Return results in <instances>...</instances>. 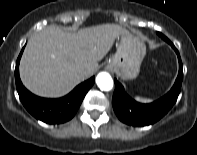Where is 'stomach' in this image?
Returning <instances> with one entry per match:
<instances>
[{"instance_id":"1","label":"stomach","mask_w":197,"mask_h":155,"mask_svg":"<svg viewBox=\"0 0 197 155\" xmlns=\"http://www.w3.org/2000/svg\"><path fill=\"white\" fill-rule=\"evenodd\" d=\"M145 54L146 46L139 38L130 34L121 35L117 51L107 67L124 80L134 79L139 74Z\"/></svg>"}]
</instances>
